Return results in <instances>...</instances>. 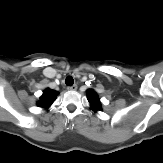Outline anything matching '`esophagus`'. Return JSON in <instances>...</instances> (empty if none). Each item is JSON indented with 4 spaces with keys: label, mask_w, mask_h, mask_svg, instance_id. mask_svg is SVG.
<instances>
[{
    "label": "esophagus",
    "mask_w": 163,
    "mask_h": 163,
    "mask_svg": "<svg viewBox=\"0 0 163 163\" xmlns=\"http://www.w3.org/2000/svg\"><path fill=\"white\" fill-rule=\"evenodd\" d=\"M67 89H68L69 91H75V90L77 89V85L75 84V85H73V86H69V87H67Z\"/></svg>",
    "instance_id": "esophagus-1"
}]
</instances>
